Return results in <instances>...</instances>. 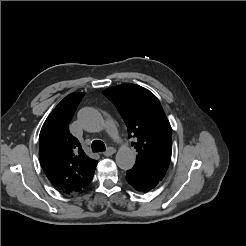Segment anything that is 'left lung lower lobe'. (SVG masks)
Segmentation results:
<instances>
[{"label":"left lung lower lobe","instance_id":"obj_1","mask_svg":"<svg viewBox=\"0 0 246 246\" xmlns=\"http://www.w3.org/2000/svg\"><path fill=\"white\" fill-rule=\"evenodd\" d=\"M126 180L135 190L144 193L155 188L160 182V180L138 167H133L127 171Z\"/></svg>","mask_w":246,"mask_h":246}]
</instances>
